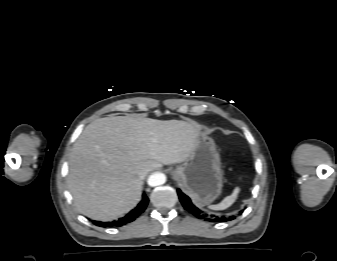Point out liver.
I'll return each mask as SVG.
<instances>
[{"mask_svg":"<svg viewBox=\"0 0 337 261\" xmlns=\"http://www.w3.org/2000/svg\"><path fill=\"white\" fill-rule=\"evenodd\" d=\"M201 129L181 120L96 119L83 130L69 156L67 184L76 208L99 221L123 216L140 199L142 172L186 161Z\"/></svg>","mask_w":337,"mask_h":261,"instance_id":"6515ba94","label":"liver"}]
</instances>
